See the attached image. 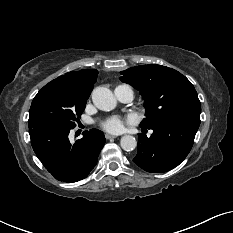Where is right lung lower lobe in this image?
<instances>
[{"instance_id": "1", "label": "right lung lower lobe", "mask_w": 233, "mask_h": 233, "mask_svg": "<svg viewBox=\"0 0 233 233\" xmlns=\"http://www.w3.org/2000/svg\"><path fill=\"white\" fill-rule=\"evenodd\" d=\"M71 129L50 123L29 128L33 150L44 167L57 180L69 183L89 174L105 144L104 134L97 129L85 131L83 138L71 144Z\"/></svg>"}]
</instances>
